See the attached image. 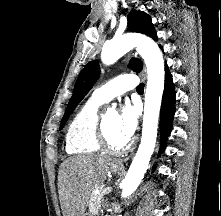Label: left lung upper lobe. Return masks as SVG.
Returning <instances> with one entry per match:
<instances>
[{"instance_id":"5c2ea615","label":"left lung upper lobe","mask_w":221,"mask_h":216,"mask_svg":"<svg viewBox=\"0 0 221 216\" xmlns=\"http://www.w3.org/2000/svg\"><path fill=\"white\" fill-rule=\"evenodd\" d=\"M128 29L131 32H138L150 36L152 39H157L155 28L151 22V18L143 11L133 10L128 15ZM130 69L135 72L142 70V63L140 60L132 58L129 62ZM100 75V67L97 61L89 62L79 74L75 83L72 97L67 105L65 114L60 124V130L68 120L70 114L79 104V102L90 91Z\"/></svg>"}]
</instances>
